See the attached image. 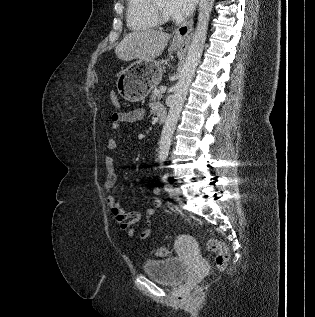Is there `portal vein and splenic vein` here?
Here are the masks:
<instances>
[{"mask_svg":"<svg viewBox=\"0 0 315 317\" xmlns=\"http://www.w3.org/2000/svg\"><path fill=\"white\" fill-rule=\"evenodd\" d=\"M165 91H166V88H165V87L160 88V92H161V93H164Z\"/></svg>","mask_w":315,"mask_h":317,"instance_id":"obj_1","label":"portal vein and splenic vein"}]
</instances>
